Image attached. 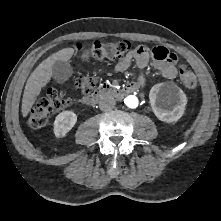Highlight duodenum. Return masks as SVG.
I'll return each mask as SVG.
<instances>
[{
  "instance_id": "obj_1",
  "label": "duodenum",
  "mask_w": 221,
  "mask_h": 221,
  "mask_svg": "<svg viewBox=\"0 0 221 221\" xmlns=\"http://www.w3.org/2000/svg\"><path fill=\"white\" fill-rule=\"evenodd\" d=\"M138 88L134 84H130L123 89H118L109 84L100 85L92 93L83 98V102L87 105H93L105 97L122 98L123 96L133 93Z\"/></svg>"
}]
</instances>
